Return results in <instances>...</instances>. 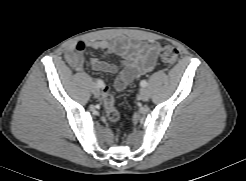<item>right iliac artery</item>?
<instances>
[{
  "label": "right iliac artery",
  "mask_w": 246,
  "mask_h": 181,
  "mask_svg": "<svg viewBox=\"0 0 246 181\" xmlns=\"http://www.w3.org/2000/svg\"><path fill=\"white\" fill-rule=\"evenodd\" d=\"M97 87L102 88L104 86V83L101 80H97Z\"/></svg>",
  "instance_id": "1"
}]
</instances>
